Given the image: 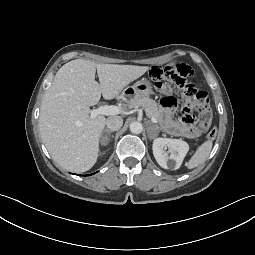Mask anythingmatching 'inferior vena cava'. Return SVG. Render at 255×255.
Returning <instances> with one entry per match:
<instances>
[{
	"instance_id": "obj_1",
	"label": "inferior vena cava",
	"mask_w": 255,
	"mask_h": 255,
	"mask_svg": "<svg viewBox=\"0 0 255 255\" xmlns=\"http://www.w3.org/2000/svg\"><path fill=\"white\" fill-rule=\"evenodd\" d=\"M106 125L108 129H110L111 131H117L122 127L123 119L120 116L108 117L106 121Z\"/></svg>"
}]
</instances>
